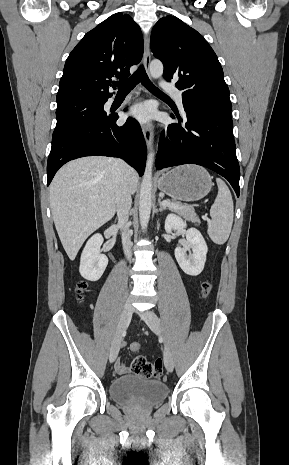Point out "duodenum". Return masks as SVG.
I'll list each match as a JSON object with an SVG mask.
<instances>
[{
    "mask_svg": "<svg viewBox=\"0 0 289 465\" xmlns=\"http://www.w3.org/2000/svg\"><path fill=\"white\" fill-rule=\"evenodd\" d=\"M111 244H113V239L111 240Z\"/></svg>",
    "mask_w": 289,
    "mask_h": 465,
    "instance_id": "duodenum-1",
    "label": "duodenum"
}]
</instances>
